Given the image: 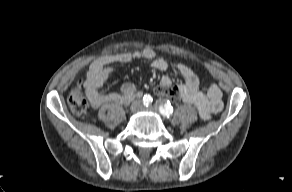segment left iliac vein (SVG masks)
I'll return each mask as SVG.
<instances>
[{"instance_id": "1", "label": "left iliac vein", "mask_w": 292, "mask_h": 192, "mask_svg": "<svg viewBox=\"0 0 292 192\" xmlns=\"http://www.w3.org/2000/svg\"><path fill=\"white\" fill-rule=\"evenodd\" d=\"M146 109L151 110V111H157L158 110V108L156 106H149V107H146Z\"/></svg>"}]
</instances>
